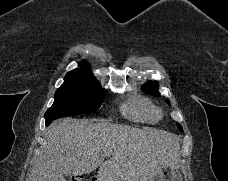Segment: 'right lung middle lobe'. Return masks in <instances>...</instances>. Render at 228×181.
<instances>
[{
    "mask_svg": "<svg viewBox=\"0 0 228 181\" xmlns=\"http://www.w3.org/2000/svg\"><path fill=\"white\" fill-rule=\"evenodd\" d=\"M105 91L99 82L83 85H62L55 93L53 105L45 113L46 125L52 120L95 112L101 106Z\"/></svg>",
    "mask_w": 228,
    "mask_h": 181,
    "instance_id": "1",
    "label": "right lung middle lobe"
}]
</instances>
